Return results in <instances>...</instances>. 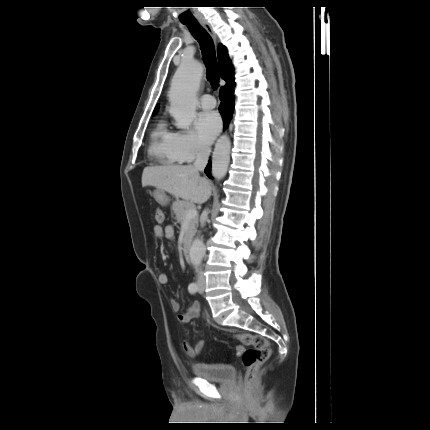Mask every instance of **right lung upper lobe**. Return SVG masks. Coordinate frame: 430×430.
<instances>
[{"label": "right lung upper lobe", "instance_id": "1", "mask_svg": "<svg viewBox=\"0 0 430 430\" xmlns=\"http://www.w3.org/2000/svg\"><path fill=\"white\" fill-rule=\"evenodd\" d=\"M218 62L221 70V77L226 81V85L221 87V90L224 88L234 85V73L233 67L230 66V59L228 56V52L225 46L222 44L218 47ZM158 105L155 107L153 114H155L158 110Z\"/></svg>", "mask_w": 430, "mask_h": 430}]
</instances>
